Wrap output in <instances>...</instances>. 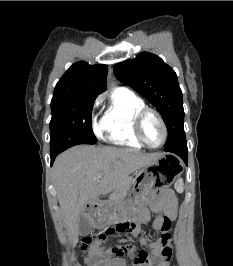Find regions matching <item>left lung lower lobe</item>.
Wrapping results in <instances>:
<instances>
[{"label": "left lung lower lobe", "instance_id": "obj_1", "mask_svg": "<svg viewBox=\"0 0 233 266\" xmlns=\"http://www.w3.org/2000/svg\"><path fill=\"white\" fill-rule=\"evenodd\" d=\"M164 150L166 152H172L178 156H180L185 164L187 165V158H188V152H187V144H186V137L185 134L175 139L170 144L165 145Z\"/></svg>", "mask_w": 233, "mask_h": 266}]
</instances>
